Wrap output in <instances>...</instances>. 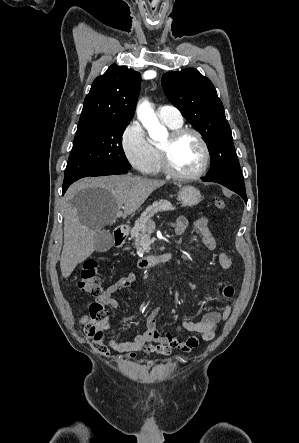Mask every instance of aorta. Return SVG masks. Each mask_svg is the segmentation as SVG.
<instances>
[{"label": "aorta", "mask_w": 299, "mask_h": 443, "mask_svg": "<svg viewBox=\"0 0 299 443\" xmlns=\"http://www.w3.org/2000/svg\"><path fill=\"white\" fill-rule=\"evenodd\" d=\"M137 115L149 136L153 140H162L167 135V129L160 124L148 101H143L137 108Z\"/></svg>", "instance_id": "obj_1"}]
</instances>
